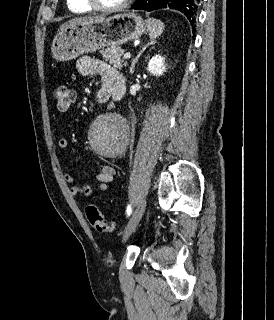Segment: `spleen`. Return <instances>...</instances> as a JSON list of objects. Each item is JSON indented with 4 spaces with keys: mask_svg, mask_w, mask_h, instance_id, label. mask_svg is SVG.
<instances>
[{
    "mask_svg": "<svg viewBox=\"0 0 274 320\" xmlns=\"http://www.w3.org/2000/svg\"><path fill=\"white\" fill-rule=\"evenodd\" d=\"M146 24L151 40H155V38L161 36L164 30L163 22H160V20H155V18H148V20H146Z\"/></svg>",
    "mask_w": 274,
    "mask_h": 320,
    "instance_id": "3e777b00",
    "label": "spleen"
}]
</instances>
